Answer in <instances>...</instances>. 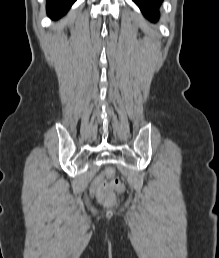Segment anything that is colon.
<instances>
[{
  "label": "colon",
  "mask_w": 219,
  "mask_h": 258,
  "mask_svg": "<svg viewBox=\"0 0 219 258\" xmlns=\"http://www.w3.org/2000/svg\"><path fill=\"white\" fill-rule=\"evenodd\" d=\"M115 191H125V185L115 178V169L109 167L104 171L103 175L98 176L93 181L91 193L102 203L111 206L116 202Z\"/></svg>",
  "instance_id": "5ec220e1"
}]
</instances>
